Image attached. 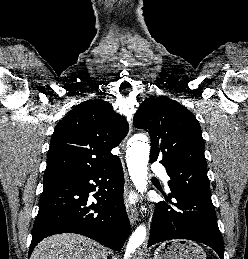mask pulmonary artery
<instances>
[{
  "label": "pulmonary artery",
  "instance_id": "e3ab8cb5",
  "mask_svg": "<svg viewBox=\"0 0 248 259\" xmlns=\"http://www.w3.org/2000/svg\"><path fill=\"white\" fill-rule=\"evenodd\" d=\"M151 169H152L153 172L161 174L164 181H168L169 177H168V175L165 173L164 167H163L161 164H159V163H154V164L151 166Z\"/></svg>",
  "mask_w": 248,
  "mask_h": 259
}]
</instances>
